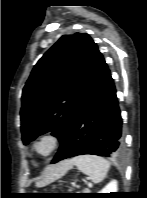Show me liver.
<instances>
[{"label":"liver","mask_w":147,"mask_h":198,"mask_svg":"<svg viewBox=\"0 0 147 198\" xmlns=\"http://www.w3.org/2000/svg\"><path fill=\"white\" fill-rule=\"evenodd\" d=\"M73 167V160H64L54 166L49 167L42 178L36 182L37 187L45 186L62 176H64L69 169Z\"/></svg>","instance_id":"liver-1"}]
</instances>
